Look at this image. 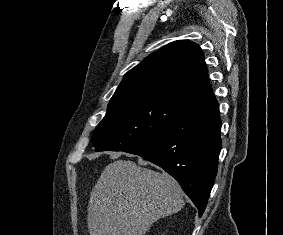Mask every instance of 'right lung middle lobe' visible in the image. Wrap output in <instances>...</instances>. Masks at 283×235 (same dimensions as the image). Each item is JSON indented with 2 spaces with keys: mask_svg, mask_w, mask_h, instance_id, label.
<instances>
[{
  "mask_svg": "<svg viewBox=\"0 0 283 235\" xmlns=\"http://www.w3.org/2000/svg\"><path fill=\"white\" fill-rule=\"evenodd\" d=\"M186 104L169 99H134L109 103L92 135L95 151H125L166 130Z\"/></svg>",
  "mask_w": 283,
  "mask_h": 235,
  "instance_id": "dd1d6c3e",
  "label": "right lung middle lobe"
}]
</instances>
